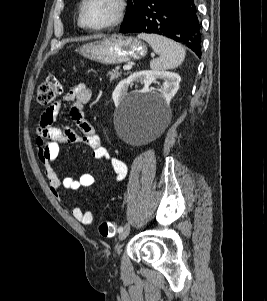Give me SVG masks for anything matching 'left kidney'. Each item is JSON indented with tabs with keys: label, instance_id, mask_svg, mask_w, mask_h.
I'll use <instances>...</instances> for the list:
<instances>
[{
	"label": "left kidney",
	"instance_id": "5707ae66",
	"mask_svg": "<svg viewBox=\"0 0 267 301\" xmlns=\"http://www.w3.org/2000/svg\"><path fill=\"white\" fill-rule=\"evenodd\" d=\"M156 79L164 80L163 88L160 91L161 97L166 104H169L179 89V83L181 81L180 76L177 73L168 71H139L133 73L127 79L120 81L115 87L112 93V99L115 105L118 106L120 104L125 95L126 88L132 82L144 83V90H142V92H146Z\"/></svg>",
	"mask_w": 267,
	"mask_h": 301
}]
</instances>
